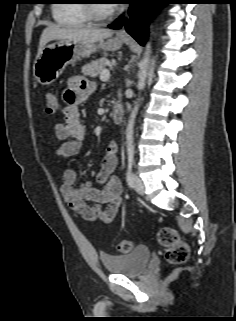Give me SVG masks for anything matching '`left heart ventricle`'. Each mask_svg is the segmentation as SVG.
Segmentation results:
<instances>
[{"label":"left heart ventricle","mask_w":236,"mask_h":321,"mask_svg":"<svg viewBox=\"0 0 236 321\" xmlns=\"http://www.w3.org/2000/svg\"><path fill=\"white\" fill-rule=\"evenodd\" d=\"M95 7L100 15H104L112 8V5L106 3L104 0H98L96 1Z\"/></svg>","instance_id":"b2bd125f"}]
</instances>
